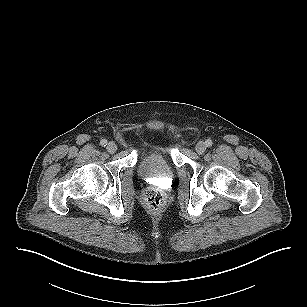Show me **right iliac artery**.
<instances>
[{"instance_id": "right-iliac-artery-1", "label": "right iliac artery", "mask_w": 307, "mask_h": 307, "mask_svg": "<svg viewBox=\"0 0 307 307\" xmlns=\"http://www.w3.org/2000/svg\"><path fill=\"white\" fill-rule=\"evenodd\" d=\"M101 146H106L107 145V140L103 139L100 141Z\"/></svg>"}]
</instances>
